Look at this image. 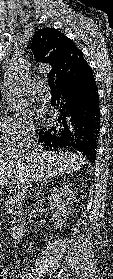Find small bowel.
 I'll return each instance as SVG.
<instances>
[{
	"instance_id": "small-bowel-1",
	"label": "small bowel",
	"mask_w": 113,
	"mask_h": 279,
	"mask_svg": "<svg viewBox=\"0 0 113 279\" xmlns=\"http://www.w3.org/2000/svg\"><path fill=\"white\" fill-rule=\"evenodd\" d=\"M7 270L5 268H1V276L0 279H8L7 277Z\"/></svg>"
}]
</instances>
